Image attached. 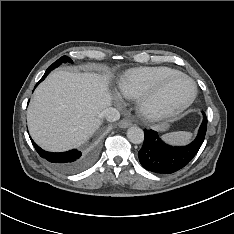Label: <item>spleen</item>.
I'll return each mask as SVG.
<instances>
[{
    "mask_svg": "<svg viewBox=\"0 0 234 234\" xmlns=\"http://www.w3.org/2000/svg\"><path fill=\"white\" fill-rule=\"evenodd\" d=\"M193 134L190 132L179 131V132H172L162 136V138L173 145H186L192 139Z\"/></svg>",
    "mask_w": 234,
    "mask_h": 234,
    "instance_id": "3e777b00",
    "label": "spleen"
}]
</instances>
